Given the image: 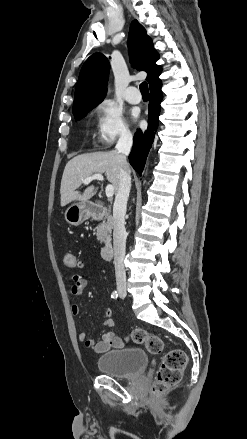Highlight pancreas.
I'll use <instances>...</instances> for the list:
<instances>
[{
  "mask_svg": "<svg viewBox=\"0 0 247 439\" xmlns=\"http://www.w3.org/2000/svg\"><path fill=\"white\" fill-rule=\"evenodd\" d=\"M96 230H97L96 237L100 243L105 241H110L111 230H112V218L108 212L106 213L103 222L97 226Z\"/></svg>",
  "mask_w": 247,
  "mask_h": 439,
  "instance_id": "pancreas-1",
  "label": "pancreas"
}]
</instances>
